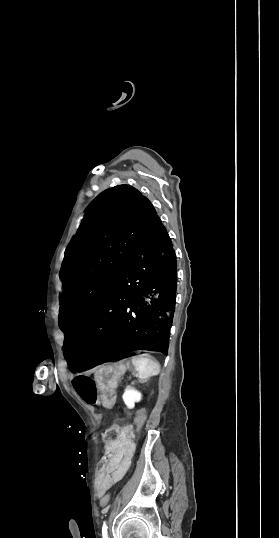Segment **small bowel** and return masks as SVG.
<instances>
[{
	"label": "small bowel",
	"instance_id": "obj_1",
	"mask_svg": "<svg viewBox=\"0 0 279 538\" xmlns=\"http://www.w3.org/2000/svg\"><path fill=\"white\" fill-rule=\"evenodd\" d=\"M73 387L78 396L88 405L98 403L94 381L87 376H78L73 380ZM134 429L128 425L122 428L119 439L106 447L109 460L106 466L105 476L97 481V489L100 495L108 492L112 486L120 481L130 467L131 459L135 451Z\"/></svg>",
	"mask_w": 279,
	"mask_h": 538
}]
</instances>
